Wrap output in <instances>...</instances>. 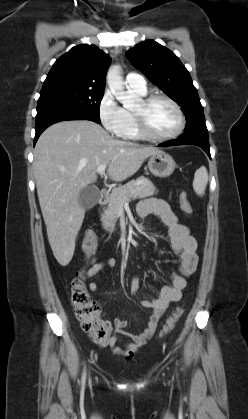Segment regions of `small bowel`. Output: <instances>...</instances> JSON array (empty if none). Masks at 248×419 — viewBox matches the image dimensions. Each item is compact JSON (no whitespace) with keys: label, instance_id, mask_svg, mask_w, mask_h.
<instances>
[{"label":"small bowel","instance_id":"c3829d8e","mask_svg":"<svg viewBox=\"0 0 248 419\" xmlns=\"http://www.w3.org/2000/svg\"><path fill=\"white\" fill-rule=\"evenodd\" d=\"M137 213L140 217L154 214L162 219L168 227L172 250L179 256V264L177 270L171 275V284L164 286L157 298L152 300L145 299L140 302L142 307L151 310V314L144 330L141 333L130 335V341L125 342L123 347L118 346V342L120 340L119 336L127 326V321L121 318L114 319L116 334L106 342V345L114 354L123 356L126 359H130L134 353L147 343L148 339L155 332L166 308L181 299L182 290L186 286V279L195 272L198 265L197 241L190 234L189 228L179 222L178 217L166 201L157 198H147L139 203ZM115 264L114 258H106L95 262L88 268L86 276L91 278L102 269L112 268ZM88 287L92 292H95L98 288L95 282H90ZM139 287V278L134 276L130 281L131 293L136 294Z\"/></svg>","mask_w":248,"mask_h":419}]
</instances>
